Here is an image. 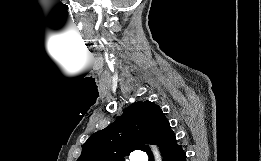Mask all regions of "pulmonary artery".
<instances>
[{
	"instance_id": "1",
	"label": "pulmonary artery",
	"mask_w": 261,
	"mask_h": 161,
	"mask_svg": "<svg viewBox=\"0 0 261 161\" xmlns=\"http://www.w3.org/2000/svg\"><path fill=\"white\" fill-rule=\"evenodd\" d=\"M137 161H147V158H146V156L142 155L137 158Z\"/></svg>"
}]
</instances>
